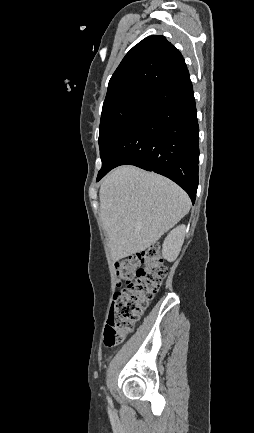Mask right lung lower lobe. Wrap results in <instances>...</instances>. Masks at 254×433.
<instances>
[{"label": "right lung lower lobe", "mask_w": 254, "mask_h": 433, "mask_svg": "<svg viewBox=\"0 0 254 433\" xmlns=\"http://www.w3.org/2000/svg\"><path fill=\"white\" fill-rule=\"evenodd\" d=\"M199 128L192 83L184 70L164 84L135 114L116 140L97 176L124 164L176 182L195 202Z\"/></svg>", "instance_id": "obj_1"}]
</instances>
